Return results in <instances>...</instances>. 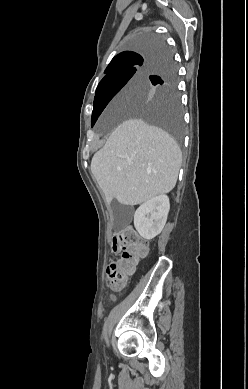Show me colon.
Listing matches in <instances>:
<instances>
[{
  "mask_svg": "<svg viewBox=\"0 0 248 389\" xmlns=\"http://www.w3.org/2000/svg\"><path fill=\"white\" fill-rule=\"evenodd\" d=\"M113 250L120 254V260L108 264V282L111 288L120 289L127 283L139 258L148 253V244L139 237L133 226H127L114 235Z\"/></svg>",
  "mask_w": 248,
  "mask_h": 389,
  "instance_id": "1",
  "label": "colon"
}]
</instances>
